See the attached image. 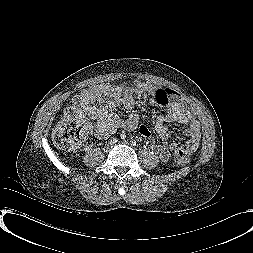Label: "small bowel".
<instances>
[{"mask_svg": "<svg viewBox=\"0 0 253 253\" xmlns=\"http://www.w3.org/2000/svg\"><path fill=\"white\" fill-rule=\"evenodd\" d=\"M134 85L136 89L152 94L156 107L166 108L156 117L154 126L160 139V144L155 146V151L161 161L167 162L171 153L178 147L188 152L196 150L200 139V124L189 104L173 90L157 84L137 81ZM116 102H121L128 110L126 117H120L115 113ZM135 109L136 102L133 98L127 96L118 101L113 100L109 87L101 84L84 89L74 96L70 110L81 116L93 134L100 139L108 138L119 128L126 130L138 128L142 137L149 138L150 129L145 125L137 126L138 116ZM168 122L188 125L184 131L183 141L170 142L171 132L166 125Z\"/></svg>", "mask_w": 253, "mask_h": 253, "instance_id": "1", "label": "small bowel"}]
</instances>
